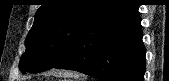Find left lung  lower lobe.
Instances as JSON below:
<instances>
[{
    "mask_svg": "<svg viewBox=\"0 0 169 81\" xmlns=\"http://www.w3.org/2000/svg\"><path fill=\"white\" fill-rule=\"evenodd\" d=\"M135 0H115L81 33L69 56L54 68L101 81H143L145 47Z\"/></svg>",
    "mask_w": 169,
    "mask_h": 81,
    "instance_id": "obj_1",
    "label": "left lung lower lobe"
}]
</instances>
